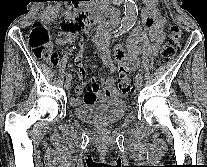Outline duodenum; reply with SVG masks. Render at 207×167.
<instances>
[{
	"label": "duodenum",
	"instance_id": "obj_1",
	"mask_svg": "<svg viewBox=\"0 0 207 167\" xmlns=\"http://www.w3.org/2000/svg\"><path fill=\"white\" fill-rule=\"evenodd\" d=\"M92 1V0H90ZM85 23L91 27L96 24H101L102 29L108 31L112 28L117 27L119 17L114 13H104L98 8H92L87 10L85 13Z\"/></svg>",
	"mask_w": 207,
	"mask_h": 167
}]
</instances>
